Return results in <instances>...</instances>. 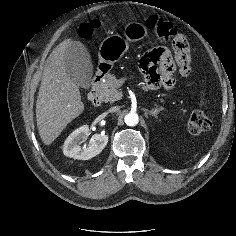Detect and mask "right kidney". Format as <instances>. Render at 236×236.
Returning a JSON list of instances; mask_svg holds the SVG:
<instances>
[{"instance_id": "right-kidney-1", "label": "right kidney", "mask_w": 236, "mask_h": 236, "mask_svg": "<svg viewBox=\"0 0 236 236\" xmlns=\"http://www.w3.org/2000/svg\"><path fill=\"white\" fill-rule=\"evenodd\" d=\"M89 134L90 130L87 125H83L73 131L64 142V155L78 160H89L100 154L108 143V136L105 134H95L88 147H81L80 143Z\"/></svg>"}]
</instances>
